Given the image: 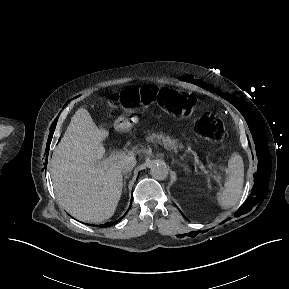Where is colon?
I'll list each match as a JSON object with an SVG mask.
<instances>
[{"label":"colon","instance_id":"obj_1","mask_svg":"<svg viewBox=\"0 0 289 289\" xmlns=\"http://www.w3.org/2000/svg\"><path fill=\"white\" fill-rule=\"evenodd\" d=\"M158 100L164 107L178 116L192 120L196 134L206 139L219 141L227 138L220 119L210 113L198 111V101L190 93H178L170 88L158 89L154 86L127 87L109 96V102L120 105L148 104Z\"/></svg>","mask_w":289,"mask_h":289}]
</instances>
